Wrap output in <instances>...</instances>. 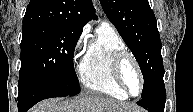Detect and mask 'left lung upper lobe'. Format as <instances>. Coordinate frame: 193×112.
Returning <instances> with one entry per match:
<instances>
[{
	"label": "left lung upper lobe",
	"instance_id": "1",
	"mask_svg": "<svg viewBox=\"0 0 193 112\" xmlns=\"http://www.w3.org/2000/svg\"><path fill=\"white\" fill-rule=\"evenodd\" d=\"M101 6L135 56L144 78L141 98L164 75L157 21L148 0H100Z\"/></svg>",
	"mask_w": 193,
	"mask_h": 112
}]
</instances>
